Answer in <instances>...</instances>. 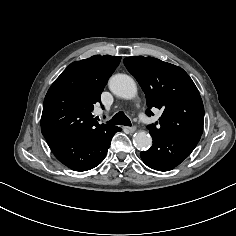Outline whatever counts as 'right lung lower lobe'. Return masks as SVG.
<instances>
[{
	"instance_id": "1",
	"label": "right lung lower lobe",
	"mask_w": 236,
	"mask_h": 236,
	"mask_svg": "<svg viewBox=\"0 0 236 236\" xmlns=\"http://www.w3.org/2000/svg\"><path fill=\"white\" fill-rule=\"evenodd\" d=\"M121 128L110 125L90 135H74L46 139L56 158L75 171L98 166L107 154L113 135Z\"/></svg>"
}]
</instances>
